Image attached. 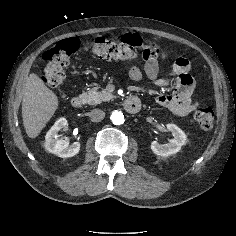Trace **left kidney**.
Here are the masks:
<instances>
[{
	"instance_id": "left-kidney-1",
	"label": "left kidney",
	"mask_w": 236,
	"mask_h": 236,
	"mask_svg": "<svg viewBox=\"0 0 236 236\" xmlns=\"http://www.w3.org/2000/svg\"><path fill=\"white\" fill-rule=\"evenodd\" d=\"M168 131L173 134V139L169 140V143L166 145H162L157 141H153L151 143L152 151L162 157H167L172 154H176L181 150V147L186 144L187 137L185 133L175 124H167L166 125Z\"/></svg>"
}]
</instances>
